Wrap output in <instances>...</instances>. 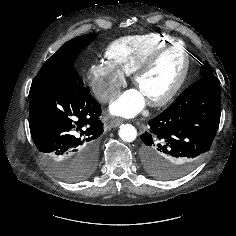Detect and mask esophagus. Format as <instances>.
Instances as JSON below:
<instances>
[{"mask_svg": "<svg viewBox=\"0 0 236 236\" xmlns=\"http://www.w3.org/2000/svg\"><path fill=\"white\" fill-rule=\"evenodd\" d=\"M122 120L121 119H118V118H116V119H113L111 122H110V126L111 127H118L119 125H121L122 124Z\"/></svg>", "mask_w": 236, "mask_h": 236, "instance_id": "obj_1", "label": "esophagus"}]
</instances>
